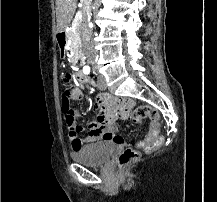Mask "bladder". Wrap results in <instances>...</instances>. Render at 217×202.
Instances as JSON below:
<instances>
[{
    "label": "bladder",
    "mask_w": 217,
    "mask_h": 202,
    "mask_svg": "<svg viewBox=\"0 0 217 202\" xmlns=\"http://www.w3.org/2000/svg\"><path fill=\"white\" fill-rule=\"evenodd\" d=\"M114 148L112 142H100L82 147L73 153L72 158L77 159L85 166L101 165L106 159L110 158Z\"/></svg>",
    "instance_id": "1"
}]
</instances>
